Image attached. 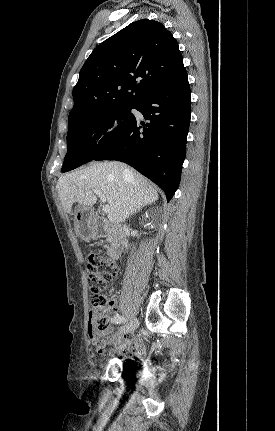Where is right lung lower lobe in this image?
<instances>
[{"mask_svg": "<svg viewBox=\"0 0 275 431\" xmlns=\"http://www.w3.org/2000/svg\"><path fill=\"white\" fill-rule=\"evenodd\" d=\"M191 91L184 69L168 85L135 108L148 120L134 122L94 160H119L148 177L166 193L179 186L191 115Z\"/></svg>", "mask_w": 275, "mask_h": 431, "instance_id": "right-lung-lower-lobe-1", "label": "right lung lower lobe"}]
</instances>
